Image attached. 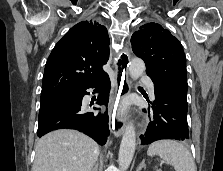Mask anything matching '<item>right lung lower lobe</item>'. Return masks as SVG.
I'll return each instance as SVG.
<instances>
[{"label": "right lung lower lobe", "instance_id": "obj_1", "mask_svg": "<svg viewBox=\"0 0 223 171\" xmlns=\"http://www.w3.org/2000/svg\"><path fill=\"white\" fill-rule=\"evenodd\" d=\"M94 88L99 92L97 104L106 105L109 100L110 79L105 72L87 86L54 93L41 98L38 124V137L62 128L79 130L98 144H105L109 136L108 114L85 112L82 106L83 96L89 94L86 89ZM96 109V108H94Z\"/></svg>", "mask_w": 223, "mask_h": 171}]
</instances>
